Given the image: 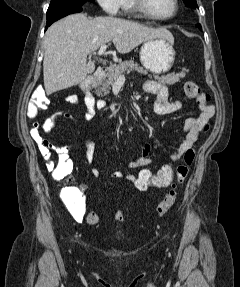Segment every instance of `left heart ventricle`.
<instances>
[{
    "instance_id": "obj_1",
    "label": "left heart ventricle",
    "mask_w": 240,
    "mask_h": 287,
    "mask_svg": "<svg viewBox=\"0 0 240 287\" xmlns=\"http://www.w3.org/2000/svg\"><path fill=\"white\" fill-rule=\"evenodd\" d=\"M149 9L157 16H167L172 13L173 0H146Z\"/></svg>"
}]
</instances>
